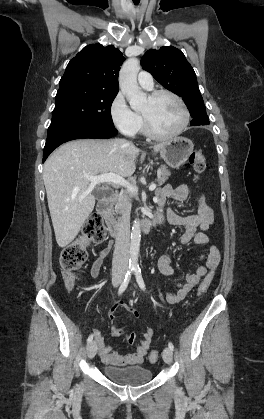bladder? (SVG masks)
Segmentation results:
<instances>
[{
	"mask_svg": "<svg viewBox=\"0 0 264 419\" xmlns=\"http://www.w3.org/2000/svg\"><path fill=\"white\" fill-rule=\"evenodd\" d=\"M102 371L109 380L124 386H139L146 384L153 376L152 371L143 366H104Z\"/></svg>",
	"mask_w": 264,
	"mask_h": 419,
	"instance_id": "obj_1",
	"label": "bladder"
}]
</instances>
